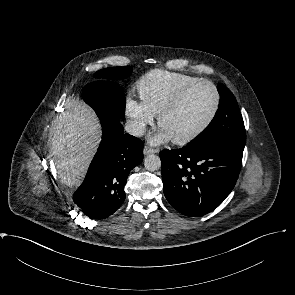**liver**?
Masks as SVG:
<instances>
[{
    "label": "liver",
    "instance_id": "1",
    "mask_svg": "<svg viewBox=\"0 0 295 295\" xmlns=\"http://www.w3.org/2000/svg\"><path fill=\"white\" fill-rule=\"evenodd\" d=\"M64 111L52 123L51 146L59 178L68 186L79 185L100 141V124L93 110L68 98Z\"/></svg>",
    "mask_w": 295,
    "mask_h": 295
}]
</instances>
